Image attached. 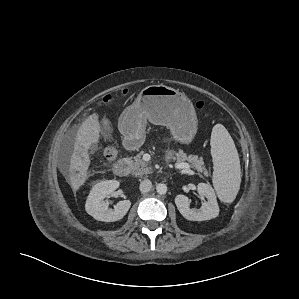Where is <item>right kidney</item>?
I'll list each match as a JSON object with an SVG mask.
<instances>
[{"label":"right kidney","mask_w":299,"mask_h":299,"mask_svg":"<svg viewBox=\"0 0 299 299\" xmlns=\"http://www.w3.org/2000/svg\"><path fill=\"white\" fill-rule=\"evenodd\" d=\"M118 187L119 182L116 180H106L95 184L86 200V212L98 221L115 222L122 219L131 207L130 200L119 201L114 206V210L108 209V203L104 201Z\"/></svg>","instance_id":"ca27d5eb"}]
</instances>
